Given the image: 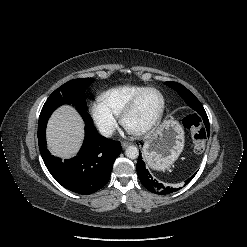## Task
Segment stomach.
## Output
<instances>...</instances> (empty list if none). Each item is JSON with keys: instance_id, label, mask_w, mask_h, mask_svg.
<instances>
[{"instance_id": "0dacf381", "label": "stomach", "mask_w": 247, "mask_h": 247, "mask_svg": "<svg viewBox=\"0 0 247 247\" xmlns=\"http://www.w3.org/2000/svg\"><path fill=\"white\" fill-rule=\"evenodd\" d=\"M185 143L184 130L176 120L163 122L143 145V157L156 170L169 168L181 154Z\"/></svg>"}]
</instances>
